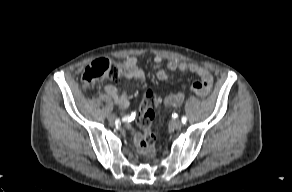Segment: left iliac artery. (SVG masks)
<instances>
[{
    "mask_svg": "<svg viewBox=\"0 0 292 192\" xmlns=\"http://www.w3.org/2000/svg\"><path fill=\"white\" fill-rule=\"evenodd\" d=\"M181 121H182V123H186V121H187V117L186 116H183L182 118H181Z\"/></svg>",
    "mask_w": 292,
    "mask_h": 192,
    "instance_id": "1",
    "label": "left iliac artery"
}]
</instances>
